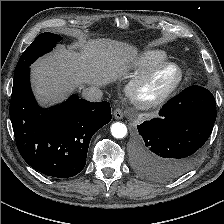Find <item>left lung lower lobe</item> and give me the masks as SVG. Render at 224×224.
Segmentation results:
<instances>
[{
	"instance_id": "0a47b994",
	"label": "left lung lower lobe",
	"mask_w": 224,
	"mask_h": 224,
	"mask_svg": "<svg viewBox=\"0 0 224 224\" xmlns=\"http://www.w3.org/2000/svg\"><path fill=\"white\" fill-rule=\"evenodd\" d=\"M215 119L212 93L197 85L186 88L161 108L158 118L137 126L135 170L155 181L184 174L199 160Z\"/></svg>"
}]
</instances>
